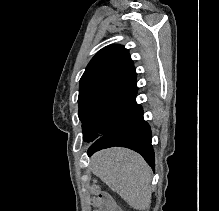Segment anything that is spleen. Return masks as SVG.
<instances>
[{
	"label": "spleen",
	"instance_id": "spleen-1",
	"mask_svg": "<svg viewBox=\"0 0 219 211\" xmlns=\"http://www.w3.org/2000/svg\"><path fill=\"white\" fill-rule=\"evenodd\" d=\"M90 169L134 209H149L152 169L142 155L127 147H109L93 153Z\"/></svg>",
	"mask_w": 219,
	"mask_h": 211
}]
</instances>
